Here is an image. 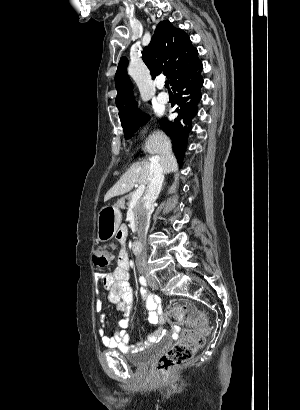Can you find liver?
Instances as JSON below:
<instances>
[{
	"instance_id": "obj_1",
	"label": "liver",
	"mask_w": 300,
	"mask_h": 410,
	"mask_svg": "<svg viewBox=\"0 0 300 410\" xmlns=\"http://www.w3.org/2000/svg\"><path fill=\"white\" fill-rule=\"evenodd\" d=\"M145 151L153 156L147 161L133 164L106 193L104 201L131 191L135 184L148 185L149 165L153 159L160 163L164 173L178 170V164L172 152L171 140L162 131L154 132L149 136L145 143Z\"/></svg>"
}]
</instances>
